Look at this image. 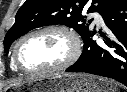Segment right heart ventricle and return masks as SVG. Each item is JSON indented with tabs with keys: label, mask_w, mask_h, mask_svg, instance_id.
<instances>
[{
	"label": "right heart ventricle",
	"mask_w": 127,
	"mask_h": 92,
	"mask_svg": "<svg viewBox=\"0 0 127 92\" xmlns=\"http://www.w3.org/2000/svg\"><path fill=\"white\" fill-rule=\"evenodd\" d=\"M11 68L13 71L17 72L19 71L18 68L15 66L14 62H13V59L11 60Z\"/></svg>",
	"instance_id": "e07e8e85"
}]
</instances>
